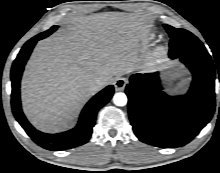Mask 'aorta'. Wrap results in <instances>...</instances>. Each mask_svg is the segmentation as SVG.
<instances>
[{"mask_svg":"<svg viewBox=\"0 0 220 173\" xmlns=\"http://www.w3.org/2000/svg\"><path fill=\"white\" fill-rule=\"evenodd\" d=\"M113 102L116 106H125L127 104V96L125 93L118 92L113 96Z\"/></svg>","mask_w":220,"mask_h":173,"instance_id":"1","label":"aorta"}]
</instances>
